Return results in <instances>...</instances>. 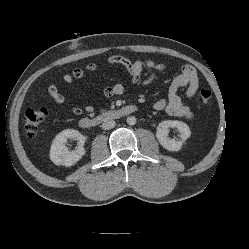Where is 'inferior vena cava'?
Listing matches in <instances>:
<instances>
[{
	"instance_id": "inferior-vena-cava-1",
	"label": "inferior vena cava",
	"mask_w": 249,
	"mask_h": 249,
	"mask_svg": "<svg viewBox=\"0 0 249 249\" xmlns=\"http://www.w3.org/2000/svg\"><path fill=\"white\" fill-rule=\"evenodd\" d=\"M115 121L114 120H106L102 123V128L104 130H109V129H112L114 126H115Z\"/></svg>"
}]
</instances>
